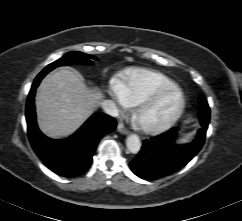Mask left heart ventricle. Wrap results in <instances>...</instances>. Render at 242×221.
<instances>
[{
  "instance_id": "left-heart-ventricle-1",
  "label": "left heart ventricle",
  "mask_w": 242,
  "mask_h": 221,
  "mask_svg": "<svg viewBox=\"0 0 242 221\" xmlns=\"http://www.w3.org/2000/svg\"><path fill=\"white\" fill-rule=\"evenodd\" d=\"M177 96L170 94L166 96L156 107L151 109L145 116L144 121L147 123H155L164 118L176 105Z\"/></svg>"
}]
</instances>
